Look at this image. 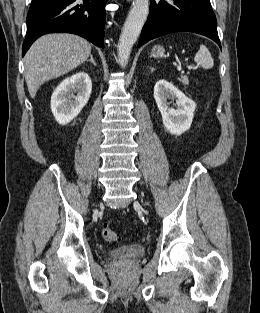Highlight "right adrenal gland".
<instances>
[{
    "mask_svg": "<svg viewBox=\"0 0 260 313\" xmlns=\"http://www.w3.org/2000/svg\"><path fill=\"white\" fill-rule=\"evenodd\" d=\"M88 61H90V62H92L94 65H96V63H95V61H94V59H93V55L90 56V59H89Z\"/></svg>",
    "mask_w": 260,
    "mask_h": 313,
    "instance_id": "2a0ac1e0",
    "label": "right adrenal gland"
}]
</instances>
